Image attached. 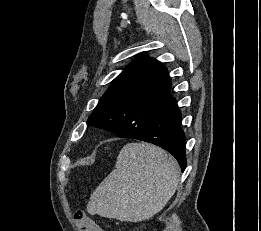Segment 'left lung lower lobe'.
I'll return each instance as SVG.
<instances>
[{"label": "left lung lower lobe", "instance_id": "left-lung-lower-lobe-1", "mask_svg": "<svg viewBox=\"0 0 261 231\" xmlns=\"http://www.w3.org/2000/svg\"><path fill=\"white\" fill-rule=\"evenodd\" d=\"M180 125L181 112L177 101L174 100L151 121L142 134L122 138H134L162 147L176 158L184 171L186 167L185 134Z\"/></svg>", "mask_w": 261, "mask_h": 231}]
</instances>
